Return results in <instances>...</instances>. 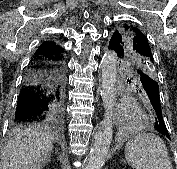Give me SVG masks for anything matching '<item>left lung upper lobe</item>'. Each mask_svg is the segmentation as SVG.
Wrapping results in <instances>:
<instances>
[{
    "label": "left lung upper lobe",
    "instance_id": "obj_1",
    "mask_svg": "<svg viewBox=\"0 0 177 169\" xmlns=\"http://www.w3.org/2000/svg\"><path fill=\"white\" fill-rule=\"evenodd\" d=\"M109 45L113 47L120 59L132 61L150 77L156 78L150 45L138 27L128 23L120 24L112 34Z\"/></svg>",
    "mask_w": 177,
    "mask_h": 169
}]
</instances>
